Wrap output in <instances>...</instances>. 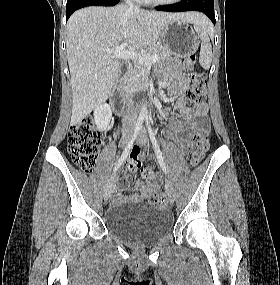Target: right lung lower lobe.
I'll return each mask as SVG.
<instances>
[{
	"mask_svg": "<svg viewBox=\"0 0 280 285\" xmlns=\"http://www.w3.org/2000/svg\"><path fill=\"white\" fill-rule=\"evenodd\" d=\"M120 0H67V19L71 16V14L86 6H114Z\"/></svg>",
	"mask_w": 280,
	"mask_h": 285,
	"instance_id": "1",
	"label": "right lung lower lobe"
}]
</instances>
